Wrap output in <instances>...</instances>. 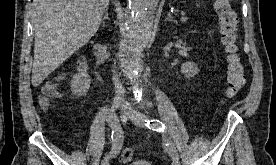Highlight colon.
<instances>
[{
  "mask_svg": "<svg viewBox=\"0 0 276 165\" xmlns=\"http://www.w3.org/2000/svg\"><path fill=\"white\" fill-rule=\"evenodd\" d=\"M214 10L218 19L221 43L226 53L227 62V89L226 98H234L246 83V75L241 57L238 51V18L229 0H215ZM59 97L55 83H49L44 87L41 104L48 107L50 102ZM134 158V152L130 148L121 151L119 159L123 163H129Z\"/></svg>",
  "mask_w": 276,
  "mask_h": 165,
  "instance_id": "5ec220e1",
  "label": "colon"
}]
</instances>
